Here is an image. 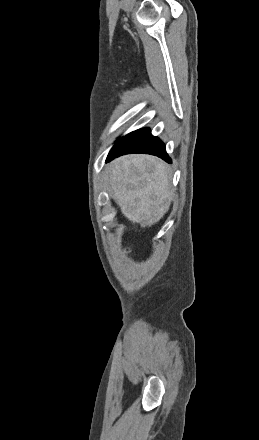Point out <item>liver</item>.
Masks as SVG:
<instances>
[{"mask_svg":"<svg viewBox=\"0 0 259 440\" xmlns=\"http://www.w3.org/2000/svg\"><path fill=\"white\" fill-rule=\"evenodd\" d=\"M110 170V191L129 221L151 226L169 210L172 189L163 161L150 155H127L114 160Z\"/></svg>","mask_w":259,"mask_h":440,"instance_id":"1","label":"liver"}]
</instances>
